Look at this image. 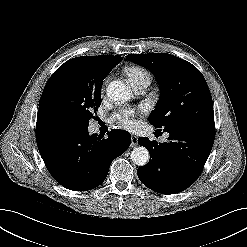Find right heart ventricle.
<instances>
[{
    "label": "right heart ventricle",
    "mask_w": 247,
    "mask_h": 247,
    "mask_svg": "<svg viewBox=\"0 0 247 247\" xmlns=\"http://www.w3.org/2000/svg\"><path fill=\"white\" fill-rule=\"evenodd\" d=\"M125 73L130 83L140 77L150 78V74L146 70H144L143 68L137 67V66L127 67L125 69Z\"/></svg>",
    "instance_id": "right-heart-ventricle-1"
}]
</instances>
